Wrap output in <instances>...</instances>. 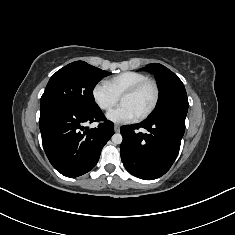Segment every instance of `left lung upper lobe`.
Listing matches in <instances>:
<instances>
[{"mask_svg": "<svg viewBox=\"0 0 235 235\" xmlns=\"http://www.w3.org/2000/svg\"><path fill=\"white\" fill-rule=\"evenodd\" d=\"M141 70L155 75L160 91L156 108L148 118L168 113L187 114L189 104L186 90L177 75L158 63L149 64Z\"/></svg>", "mask_w": 235, "mask_h": 235, "instance_id": "5c2ea615", "label": "left lung upper lobe"}]
</instances>
